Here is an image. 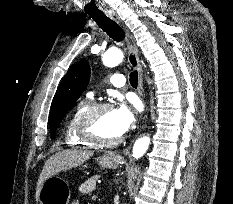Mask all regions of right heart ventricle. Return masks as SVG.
<instances>
[{
    "mask_svg": "<svg viewBox=\"0 0 233 204\" xmlns=\"http://www.w3.org/2000/svg\"><path fill=\"white\" fill-rule=\"evenodd\" d=\"M90 105V102L87 100L80 101L71 114L69 115L66 125H65V141L66 144L72 147L78 146H90L91 144L81 138L78 132L79 121L81 115L86 110V108Z\"/></svg>",
    "mask_w": 233,
    "mask_h": 204,
    "instance_id": "obj_1",
    "label": "right heart ventricle"
}]
</instances>
